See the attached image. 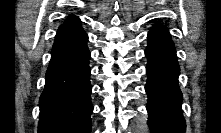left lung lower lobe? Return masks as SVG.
<instances>
[{
	"label": "left lung lower lobe",
	"instance_id": "left-lung-lower-lobe-1",
	"mask_svg": "<svg viewBox=\"0 0 221 133\" xmlns=\"http://www.w3.org/2000/svg\"><path fill=\"white\" fill-rule=\"evenodd\" d=\"M145 55L150 130L152 133H184L182 93L178 86L180 68L174 44L164 26L156 25L150 30Z\"/></svg>",
	"mask_w": 221,
	"mask_h": 133
}]
</instances>
